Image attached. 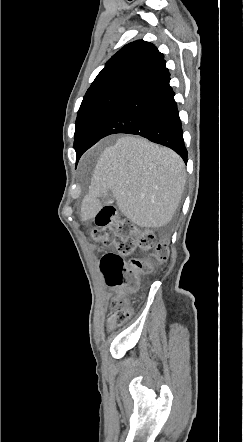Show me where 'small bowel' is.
<instances>
[{
	"label": "small bowel",
	"instance_id": "small-bowel-1",
	"mask_svg": "<svg viewBox=\"0 0 243 442\" xmlns=\"http://www.w3.org/2000/svg\"><path fill=\"white\" fill-rule=\"evenodd\" d=\"M109 327H113L115 325L114 315H111L107 321Z\"/></svg>",
	"mask_w": 243,
	"mask_h": 442
}]
</instances>
